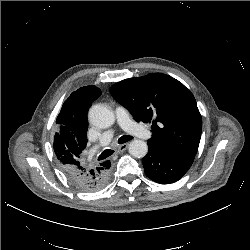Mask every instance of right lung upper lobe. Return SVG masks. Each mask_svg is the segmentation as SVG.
Masks as SVG:
<instances>
[{
    "label": "right lung upper lobe",
    "instance_id": "1",
    "mask_svg": "<svg viewBox=\"0 0 250 250\" xmlns=\"http://www.w3.org/2000/svg\"><path fill=\"white\" fill-rule=\"evenodd\" d=\"M101 94V90L89 85L74 91L64 102L56 119L57 132L53 148L61 167H76L84 164L82 151L87 144L90 104Z\"/></svg>",
    "mask_w": 250,
    "mask_h": 250
}]
</instances>
